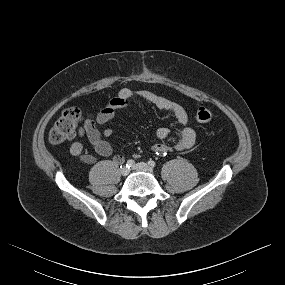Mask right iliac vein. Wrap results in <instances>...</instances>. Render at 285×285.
<instances>
[{"label":"right iliac vein","mask_w":285,"mask_h":285,"mask_svg":"<svg viewBox=\"0 0 285 285\" xmlns=\"http://www.w3.org/2000/svg\"><path fill=\"white\" fill-rule=\"evenodd\" d=\"M129 174V169L127 167H123L121 169V175L122 176H127Z\"/></svg>","instance_id":"1"}]
</instances>
